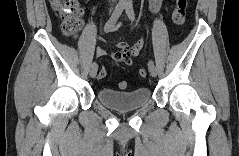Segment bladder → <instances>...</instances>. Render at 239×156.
Listing matches in <instances>:
<instances>
[{"label": "bladder", "mask_w": 239, "mask_h": 156, "mask_svg": "<svg viewBox=\"0 0 239 156\" xmlns=\"http://www.w3.org/2000/svg\"><path fill=\"white\" fill-rule=\"evenodd\" d=\"M97 99L104 106L115 111H132L142 108L151 99L148 88H138L132 92H121L110 88H100Z\"/></svg>", "instance_id": "obj_1"}]
</instances>
